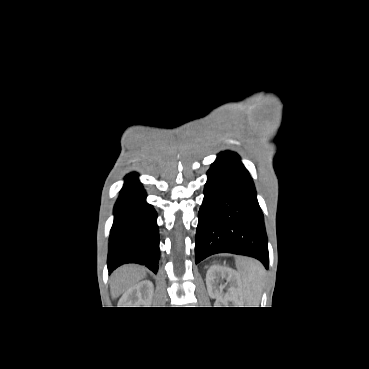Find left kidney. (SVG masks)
<instances>
[{"label": "left kidney", "instance_id": "1", "mask_svg": "<svg viewBox=\"0 0 369 369\" xmlns=\"http://www.w3.org/2000/svg\"><path fill=\"white\" fill-rule=\"evenodd\" d=\"M220 276L222 278H226L227 282L231 284L229 289V293L226 295L228 300L235 302L236 304H240L239 299L241 298L240 290L238 289L239 285V277L238 274L229 268H222L217 266H212L209 268L206 274V285L207 291L211 298H221V292L217 289L215 285V279Z\"/></svg>", "mask_w": 369, "mask_h": 369}]
</instances>
